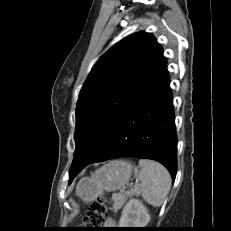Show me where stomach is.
<instances>
[{
    "mask_svg": "<svg viewBox=\"0 0 231 231\" xmlns=\"http://www.w3.org/2000/svg\"><path fill=\"white\" fill-rule=\"evenodd\" d=\"M133 173L130 162L111 161L96 170L91 177L82 178L76 188V194L84 202H92L101 198L104 192H113L128 184Z\"/></svg>",
    "mask_w": 231,
    "mask_h": 231,
    "instance_id": "0dacf381",
    "label": "stomach"
}]
</instances>
